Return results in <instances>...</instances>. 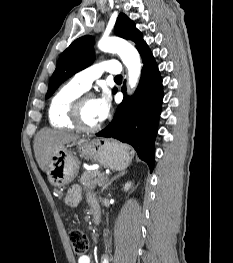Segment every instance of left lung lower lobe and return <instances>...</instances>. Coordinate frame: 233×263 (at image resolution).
<instances>
[{"label": "left lung lower lobe", "mask_w": 233, "mask_h": 263, "mask_svg": "<svg viewBox=\"0 0 233 263\" xmlns=\"http://www.w3.org/2000/svg\"><path fill=\"white\" fill-rule=\"evenodd\" d=\"M139 53L144 66L134 95L127 97L126 88L123 86V102L118 105L112 122L97 133V136L115 138L130 144L152 171L163 88L158 66L147 44ZM115 92L114 90L113 93Z\"/></svg>", "instance_id": "0a47b994"}]
</instances>
